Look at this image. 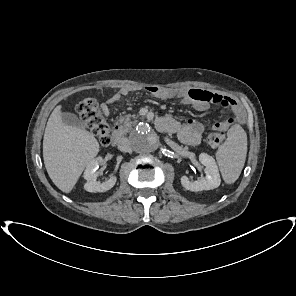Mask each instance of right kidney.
Returning <instances> with one entry per match:
<instances>
[{
    "label": "right kidney",
    "instance_id": "obj_1",
    "mask_svg": "<svg viewBox=\"0 0 296 296\" xmlns=\"http://www.w3.org/2000/svg\"><path fill=\"white\" fill-rule=\"evenodd\" d=\"M102 157H96L86 167L83 177L86 180L84 189L88 192H106L110 190L116 183L117 178L111 176L107 181H97L99 165L103 163Z\"/></svg>",
    "mask_w": 296,
    "mask_h": 296
}]
</instances>
